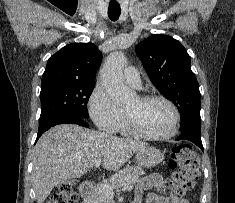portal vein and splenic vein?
Segmentation results:
<instances>
[{
	"label": "portal vein and splenic vein",
	"instance_id": "1",
	"mask_svg": "<svg viewBox=\"0 0 235 203\" xmlns=\"http://www.w3.org/2000/svg\"><path fill=\"white\" fill-rule=\"evenodd\" d=\"M100 164H101V159H97L96 161H95V167H99L100 166ZM101 188H102V190H103V192H104V194L106 195V196H108V197H110V198H113L114 197V191H113V189L109 186V185H107L106 183H103V184H101ZM126 189L128 190V191H131L132 189H133V185H128V186H126Z\"/></svg>",
	"mask_w": 235,
	"mask_h": 203
}]
</instances>
